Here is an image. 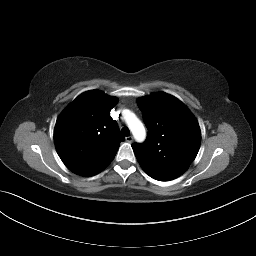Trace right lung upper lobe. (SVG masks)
Masks as SVG:
<instances>
[{"mask_svg": "<svg viewBox=\"0 0 256 256\" xmlns=\"http://www.w3.org/2000/svg\"><path fill=\"white\" fill-rule=\"evenodd\" d=\"M116 97L100 90L79 95L58 117L54 142L58 155L73 173L86 175L104 169L124 140L110 110Z\"/></svg>", "mask_w": 256, "mask_h": 256, "instance_id": "obj_1", "label": "right lung upper lobe"}]
</instances>
